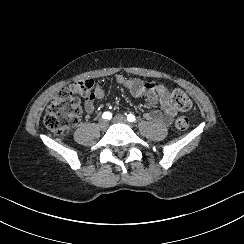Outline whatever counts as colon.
Listing matches in <instances>:
<instances>
[{
  "label": "colon",
  "instance_id": "1",
  "mask_svg": "<svg viewBox=\"0 0 244 244\" xmlns=\"http://www.w3.org/2000/svg\"><path fill=\"white\" fill-rule=\"evenodd\" d=\"M93 85L91 79L84 78L62 89L48 106L44 120L46 126L57 133H64L76 127L81 112L80 99L92 95ZM170 101L185 113L192 111L190 98L181 90H173ZM174 126L179 131H185L189 127L188 116L179 115L174 121Z\"/></svg>",
  "mask_w": 244,
  "mask_h": 244
}]
</instances>
